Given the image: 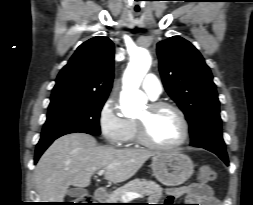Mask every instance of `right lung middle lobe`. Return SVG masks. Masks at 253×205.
Here are the masks:
<instances>
[{
    "mask_svg": "<svg viewBox=\"0 0 253 205\" xmlns=\"http://www.w3.org/2000/svg\"><path fill=\"white\" fill-rule=\"evenodd\" d=\"M107 98L64 97L51 100L41 137L63 132L100 134V111Z\"/></svg>",
    "mask_w": 253,
    "mask_h": 205,
    "instance_id": "right-lung-middle-lobe-1",
    "label": "right lung middle lobe"
}]
</instances>
